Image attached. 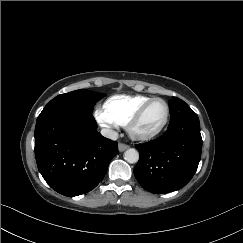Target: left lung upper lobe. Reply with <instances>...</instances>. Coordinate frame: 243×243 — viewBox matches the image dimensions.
Wrapping results in <instances>:
<instances>
[{"mask_svg": "<svg viewBox=\"0 0 243 243\" xmlns=\"http://www.w3.org/2000/svg\"><path fill=\"white\" fill-rule=\"evenodd\" d=\"M169 108L171 113L170 123L178 120L180 117L196 115L183 100L177 97H172L169 101Z\"/></svg>", "mask_w": 243, "mask_h": 243, "instance_id": "1", "label": "left lung upper lobe"}]
</instances>
